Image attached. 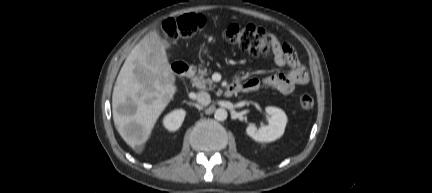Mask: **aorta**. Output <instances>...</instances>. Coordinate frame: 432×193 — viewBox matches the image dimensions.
I'll return each instance as SVG.
<instances>
[{"mask_svg": "<svg viewBox=\"0 0 432 193\" xmlns=\"http://www.w3.org/2000/svg\"><path fill=\"white\" fill-rule=\"evenodd\" d=\"M227 116H228L227 111L224 108H218L214 113V117L218 121L226 120Z\"/></svg>", "mask_w": 432, "mask_h": 193, "instance_id": "1", "label": "aorta"}]
</instances>
